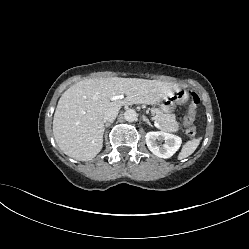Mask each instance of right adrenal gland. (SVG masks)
<instances>
[{
    "mask_svg": "<svg viewBox=\"0 0 249 249\" xmlns=\"http://www.w3.org/2000/svg\"><path fill=\"white\" fill-rule=\"evenodd\" d=\"M112 124V122H108L104 125L103 131L105 132L106 128L109 127Z\"/></svg>",
    "mask_w": 249,
    "mask_h": 249,
    "instance_id": "right-adrenal-gland-1",
    "label": "right adrenal gland"
}]
</instances>
